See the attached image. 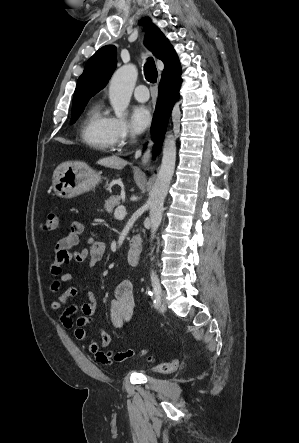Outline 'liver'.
Listing matches in <instances>:
<instances>
[{
  "mask_svg": "<svg viewBox=\"0 0 299 443\" xmlns=\"http://www.w3.org/2000/svg\"><path fill=\"white\" fill-rule=\"evenodd\" d=\"M98 164L108 167V168L120 169L126 165V161L121 159L118 156L112 155V156L100 159L98 161Z\"/></svg>",
  "mask_w": 299,
  "mask_h": 443,
  "instance_id": "1",
  "label": "liver"
}]
</instances>
